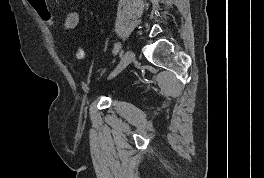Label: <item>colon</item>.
<instances>
[{
	"label": "colon",
	"instance_id": "5ec220e1",
	"mask_svg": "<svg viewBox=\"0 0 264 178\" xmlns=\"http://www.w3.org/2000/svg\"><path fill=\"white\" fill-rule=\"evenodd\" d=\"M29 5L34 9L38 16L47 24L52 27L57 26L56 18L49 8L46 0H27ZM85 50L82 47H79L75 51V57L78 60L85 58Z\"/></svg>",
	"mask_w": 264,
	"mask_h": 178
}]
</instances>
